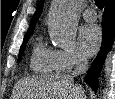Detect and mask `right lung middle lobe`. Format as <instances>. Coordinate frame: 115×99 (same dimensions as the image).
<instances>
[{"instance_id":"dd1d6c3e","label":"right lung middle lobe","mask_w":115,"mask_h":99,"mask_svg":"<svg viewBox=\"0 0 115 99\" xmlns=\"http://www.w3.org/2000/svg\"><path fill=\"white\" fill-rule=\"evenodd\" d=\"M30 35H31V33L25 35V37H24V41H23V45L21 46V49H20V53H19V57H18V61L21 60V57H22V54H23V51H24V48H25V43L28 41Z\"/></svg>"}]
</instances>
